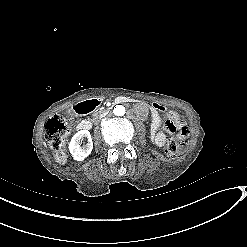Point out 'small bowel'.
Listing matches in <instances>:
<instances>
[{
	"label": "small bowel",
	"mask_w": 247,
	"mask_h": 247,
	"mask_svg": "<svg viewBox=\"0 0 247 247\" xmlns=\"http://www.w3.org/2000/svg\"><path fill=\"white\" fill-rule=\"evenodd\" d=\"M163 112V111H162ZM150 113H151V118H152V122L153 124H157L158 121H159V111H156L152 108H150ZM167 115L173 119L177 125V127L181 130L182 128L186 127L181 121H180V118L178 116L177 113L173 112V111H170L167 113ZM153 141L154 143L159 146V147H163L166 143V136L163 132L161 131H158V132H155L153 133Z\"/></svg>",
	"instance_id": "small-bowel-1"
}]
</instances>
